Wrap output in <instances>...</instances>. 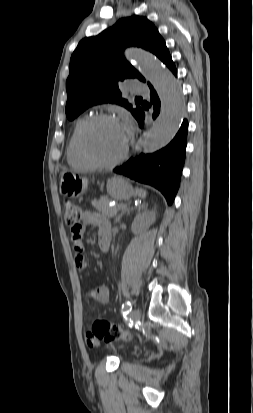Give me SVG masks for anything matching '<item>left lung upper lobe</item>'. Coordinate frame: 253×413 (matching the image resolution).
<instances>
[{
    "label": "left lung upper lobe",
    "instance_id": "1",
    "mask_svg": "<svg viewBox=\"0 0 253 413\" xmlns=\"http://www.w3.org/2000/svg\"><path fill=\"white\" fill-rule=\"evenodd\" d=\"M128 46L149 50L163 63L170 57L157 28L142 16L122 18L97 36L82 39L71 56L70 74L66 81V115L69 120L92 105L106 102L126 107L135 118L139 115L141 107L132 108L119 89V84L128 78L145 82V78L123 56Z\"/></svg>",
    "mask_w": 253,
    "mask_h": 413
}]
</instances>
